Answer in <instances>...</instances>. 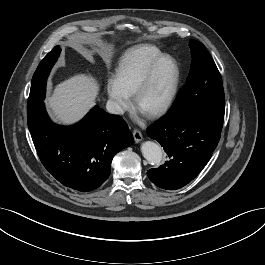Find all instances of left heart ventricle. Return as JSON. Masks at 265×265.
<instances>
[{
  "mask_svg": "<svg viewBox=\"0 0 265 265\" xmlns=\"http://www.w3.org/2000/svg\"><path fill=\"white\" fill-rule=\"evenodd\" d=\"M173 78L172 66L163 62L157 69L149 87L139 101L140 112H148L159 106L168 95Z\"/></svg>",
  "mask_w": 265,
  "mask_h": 265,
  "instance_id": "b2bd125f",
  "label": "left heart ventricle"
}]
</instances>
